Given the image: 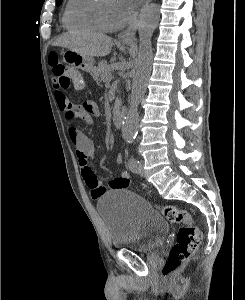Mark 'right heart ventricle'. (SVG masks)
I'll return each instance as SVG.
<instances>
[{
	"mask_svg": "<svg viewBox=\"0 0 245 300\" xmlns=\"http://www.w3.org/2000/svg\"><path fill=\"white\" fill-rule=\"evenodd\" d=\"M97 0H68L63 16L68 30L76 32H100L96 15Z\"/></svg>",
	"mask_w": 245,
	"mask_h": 300,
	"instance_id": "1",
	"label": "right heart ventricle"
}]
</instances>
